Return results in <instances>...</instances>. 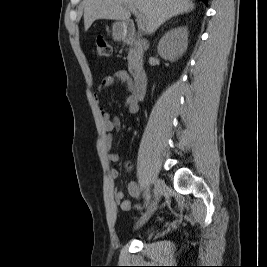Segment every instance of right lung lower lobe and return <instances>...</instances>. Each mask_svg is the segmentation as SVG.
Returning a JSON list of instances; mask_svg holds the SVG:
<instances>
[{"mask_svg":"<svg viewBox=\"0 0 267 267\" xmlns=\"http://www.w3.org/2000/svg\"><path fill=\"white\" fill-rule=\"evenodd\" d=\"M205 4H207V0H202Z\"/></svg>","mask_w":267,"mask_h":267,"instance_id":"98d812e1","label":"right lung lower lobe"}]
</instances>
